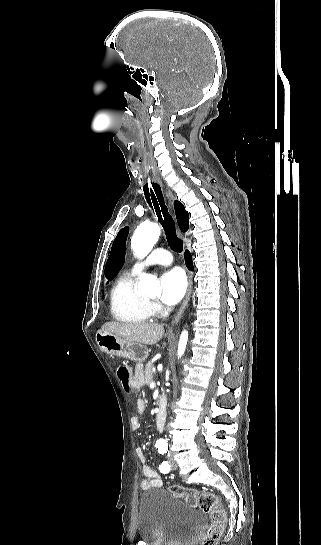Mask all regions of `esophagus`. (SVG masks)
<instances>
[{
    "label": "esophagus",
    "mask_w": 321,
    "mask_h": 545,
    "mask_svg": "<svg viewBox=\"0 0 321 545\" xmlns=\"http://www.w3.org/2000/svg\"><path fill=\"white\" fill-rule=\"evenodd\" d=\"M165 196H166V200H167L168 204L171 206L172 202L174 200L173 195L171 194L170 191H167ZM192 286H193V275L190 273L188 275V290H187L186 297H185V299H184L178 313L175 315L174 319L172 320L171 326L177 325V323L180 322L182 314L184 313V311L186 309V306H187V304H188V302L190 300Z\"/></svg>",
    "instance_id": "1"
}]
</instances>
